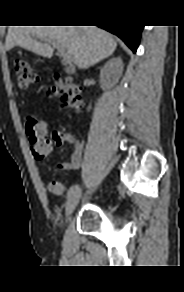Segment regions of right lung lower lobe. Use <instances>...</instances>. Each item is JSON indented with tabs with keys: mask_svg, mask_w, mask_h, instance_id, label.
<instances>
[{
	"mask_svg": "<svg viewBox=\"0 0 184 292\" xmlns=\"http://www.w3.org/2000/svg\"><path fill=\"white\" fill-rule=\"evenodd\" d=\"M99 27L119 36L133 52H136L143 26L99 25Z\"/></svg>",
	"mask_w": 184,
	"mask_h": 292,
	"instance_id": "98d812e1",
	"label": "right lung lower lobe"
}]
</instances>
